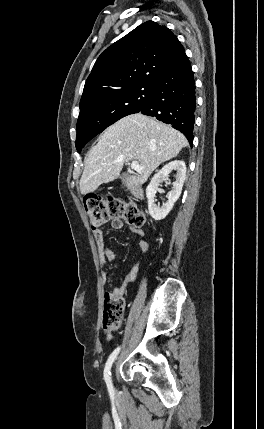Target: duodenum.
I'll return each mask as SVG.
<instances>
[{
    "label": "duodenum",
    "instance_id": "duodenum-1",
    "mask_svg": "<svg viewBox=\"0 0 264 429\" xmlns=\"http://www.w3.org/2000/svg\"><path fill=\"white\" fill-rule=\"evenodd\" d=\"M132 193L137 199H143V191L140 188L135 187Z\"/></svg>",
    "mask_w": 264,
    "mask_h": 429
}]
</instances>
